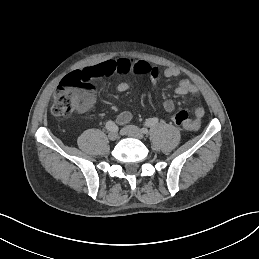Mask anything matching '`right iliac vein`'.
Here are the masks:
<instances>
[{
    "label": "right iliac vein",
    "instance_id": "1",
    "mask_svg": "<svg viewBox=\"0 0 259 259\" xmlns=\"http://www.w3.org/2000/svg\"><path fill=\"white\" fill-rule=\"evenodd\" d=\"M108 138L111 141H115L118 138V133L116 131H111L108 133Z\"/></svg>",
    "mask_w": 259,
    "mask_h": 259
}]
</instances>
